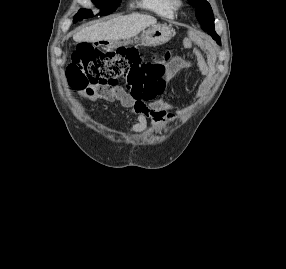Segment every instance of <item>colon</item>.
Returning <instances> with one entry per match:
<instances>
[{"instance_id": "colon-1", "label": "colon", "mask_w": 286, "mask_h": 269, "mask_svg": "<svg viewBox=\"0 0 286 269\" xmlns=\"http://www.w3.org/2000/svg\"><path fill=\"white\" fill-rule=\"evenodd\" d=\"M166 72L165 64L145 62L134 48L104 51L83 42L76 48L69 82L74 90L122 84L136 97H153L163 92Z\"/></svg>"}]
</instances>
